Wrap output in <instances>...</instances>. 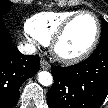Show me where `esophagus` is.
I'll use <instances>...</instances> for the list:
<instances>
[{
	"label": "esophagus",
	"instance_id": "obj_1",
	"mask_svg": "<svg viewBox=\"0 0 108 108\" xmlns=\"http://www.w3.org/2000/svg\"><path fill=\"white\" fill-rule=\"evenodd\" d=\"M40 64H41L42 69L44 70H48L51 67L50 63L44 59L41 60Z\"/></svg>",
	"mask_w": 108,
	"mask_h": 108
}]
</instances>
